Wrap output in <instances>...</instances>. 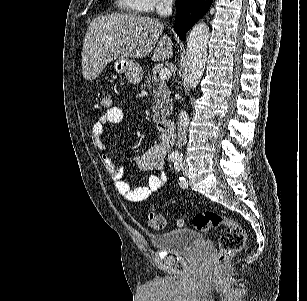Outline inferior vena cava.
Instances as JSON below:
<instances>
[{"instance_id": "obj_1", "label": "inferior vena cava", "mask_w": 307, "mask_h": 301, "mask_svg": "<svg viewBox=\"0 0 307 301\" xmlns=\"http://www.w3.org/2000/svg\"><path fill=\"white\" fill-rule=\"evenodd\" d=\"M173 10V0H159L156 4V12L159 16H170ZM187 122H189V116L185 110H181L178 118L177 126V146L182 148L187 138Z\"/></svg>"}]
</instances>
